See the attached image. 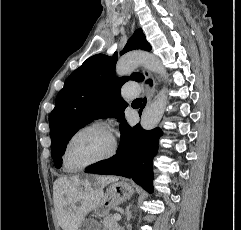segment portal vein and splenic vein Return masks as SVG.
<instances>
[{
  "mask_svg": "<svg viewBox=\"0 0 241 230\" xmlns=\"http://www.w3.org/2000/svg\"><path fill=\"white\" fill-rule=\"evenodd\" d=\"M114 219L118 221L121 219V216L119 214H114Z\"/></svg>",
  "mask_w": 241,
  "mask_h": 230,
  "instance_id": "obj_1",
  "label": "portal vein and splenic vein"
}]
</instances>
